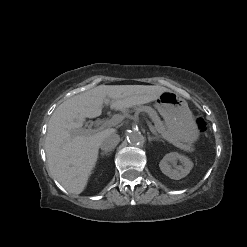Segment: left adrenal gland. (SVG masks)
<instances>
[{"label":"left adrenal gland","instance_id":"1","mask_svg":"<svg viewBox=\"0 0 247 247\" xmlns=\"http://www.w3.org/2000/svg\"><path fill=\"white\" fill-rule=\"evenodd\" d=\"M148 141H159V139L157 137H151L150 135H148Z\"/></svg>","mask_w":247,"mask_h":247}]
</instances>
